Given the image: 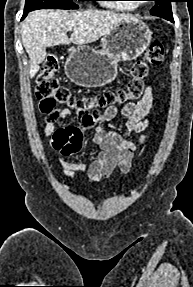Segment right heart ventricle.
<instances>
[{"instance_id":"e07e8e85","label":"right heart ventricle","mask_w":193,"mask_h":287,"mask_svg":"<svg viewBox=\"0 0 193 287\" xmlns=\"http://www.w3.org/2000/svg\"><path fill=\"white\" fill-rule=\"evenodd\" d=\"M108 7L117 10V11H130L133 9V6L128 3H119L118 0H111L109 1ZM112 2V3H111ZM114 2V3H113ZM116 2V3H115ZM118 2V3H117Z\"/></svg>"}]
</instances>
